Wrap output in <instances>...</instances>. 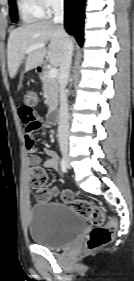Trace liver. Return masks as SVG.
<instances>
[{
    "mask_svg": "<svg viewBox=\"0 0 134 281\" xmlns=\"http://www.w3.org/2000/svg\"><path fill=\"white\" fill-rule=\"evenodd\" d=\"M67 38H71L67 35ZM72 41V40H71ZM49 43L50 50L40 48L30 53L26 50L36 44ZM64 52V35L61 27L51 21H37L13 30L8 39L7 59L10 77L14 79L24 63L25 71L32 70L49 56L53 66H59Z\"/></svg>",
    "mask_w": 134,
    "mask_h": 281,
    "instance_id": "liver-1",
    "label": "liver"
}]
</instances>
